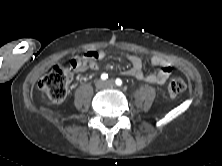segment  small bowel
I'll return each mask as SVG.
<instances>
[{"instance_id":"obj_1","label":"small bowel","mask_w":222,"mask_h":166,"mask_svg":"<svg viewBox=\"0 0 222 166\" xmlns=\"http://www.w3.org/2000/svg\"><path fill=\"white\" fill-rule=\"evenodd\" d=\"M105 56L106 53L103 50L88 51L83 55L74 57L70 62V66L76 73L84 72L87 69L95 71L99 68L98 62L104 59ZM125 56L130 62L131 67L126 69L123 74L137 80L163 85L172 71V67L168 61L159 56H152L149 62L156 70L150 74H145L143 70V60L140 57L131 53H127Z\"/></svg>"}]
</instances>
